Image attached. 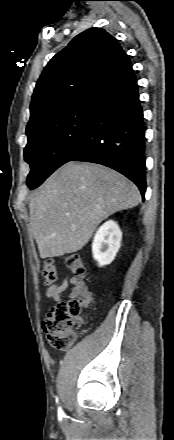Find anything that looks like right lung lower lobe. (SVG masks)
I'll list each match as a JSON object with an SVG mask.
<instances>
[{"label":"right lung lower lobe","instance_id":"1","mask_svg":"<svg viewBox=\"0 0 174 440\" xmlns=\"http://www.w3.org/2000/svg\"><path fill=\"white\" fill-rule=\"evenodd\" d=\"M86 133L68 161H87L110 167L132 180L142 199L146 190L145 128L133 69L94 93Z\"/></svg>","mask_w":174,"mask_h":440}]
</instances>
